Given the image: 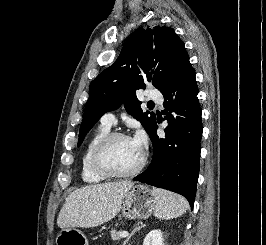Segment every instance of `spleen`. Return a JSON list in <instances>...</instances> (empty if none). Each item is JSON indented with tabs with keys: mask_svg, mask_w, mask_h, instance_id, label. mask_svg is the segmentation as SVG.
<instances>
[{
	"mask_svg": "<svg viewBox=\"0 0 266 245\" xmlns=\"http://www.w3.org/2000/svg\"><path fill=\"white\" fill-rule=\"evenodd\" d=\"M152 195L156 201L154 215L158 219H177L186 213L189 203L181 197L164 189H153Z\"/></svg>",
	"mask_w": 266,
	"mask_h": 245,
	"instance_id": "3e777b00",
	"label": "spleen"
}]
</instances>
